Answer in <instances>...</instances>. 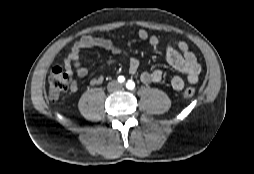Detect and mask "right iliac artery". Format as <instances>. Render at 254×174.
I'll list each match as a JSON object with an SVG mask.
<instances>
[{
  "instance_id": "1",
  "label": "right iliac artery",
  "mask_w": 254,
  "mask_h": 174,
  "mask_svg": "<svg viewBox=\"0 0 254 174\" xmlns=\"http://www.w3.org/2000/svg\"><path fill=\"white\" fill-rule=\"evenodd\" d=\"M124 81H125L124 76H119V77H118V82H119V83H124Z\"/></svg>"
}]
</instances>
